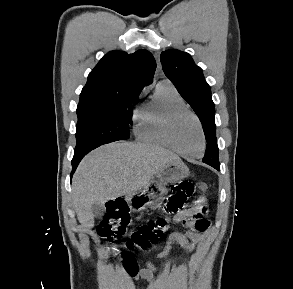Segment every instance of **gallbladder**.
I'll list each match as a JSON object with an SVG mask.
<instances>
[{"instance_id":"gallbladder-1","label":"gallbladder","mask_w":293,"mask_h":289,"mask_svg":"<svg viewBox=\"0 0 293 289\" xmlns=\"http://www.w3.org/2000/svg\"><path fill=\"white\" fill-rule=\"evenodd\" d=\"M91 211L96 218H101L105 213V208L102 203L96 202L92 205Z\"/></svg>"}]
</instances>
